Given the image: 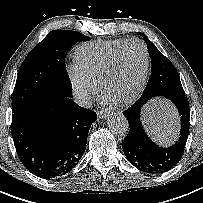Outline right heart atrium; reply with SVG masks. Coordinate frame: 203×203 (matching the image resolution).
<instances>
[{
    "label": "right heart atrium",
    "mask_w": 203,
    "mask_h": 203,
    "mask_svg": "<svg viewBox=\"0 0 203 203\" xmlns=\"http://www.w3.org/2000/svg\"><path fill=\"white\" fill-rule=\"evenodd\" d=\"M67 72L79 103L87 105L97 91L96 81L84 73L77 64L69 65Z\"/></svg>",
    "instance_id": "right-heart-atrium-1"
}]
</instances>
